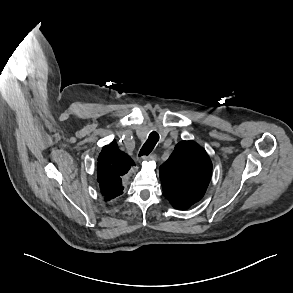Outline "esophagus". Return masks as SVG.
<instances>
[{
	"instance_id": "34e87169",
	"label": "esophagus",
	"mask_w": 293,
	"mask_h": 293,
	"mask_svg": "<svg viewBox=\"0 0 293 293\" xmlns=\"http://www.w3.org/2000/svg\"><path fill=\"white\" fill-rule=\"evenodd\" d=\"M142 160H145V161L156 160V155L155 154H150V155H147V156H143Z\"/></svg>"
}]
</instances>
